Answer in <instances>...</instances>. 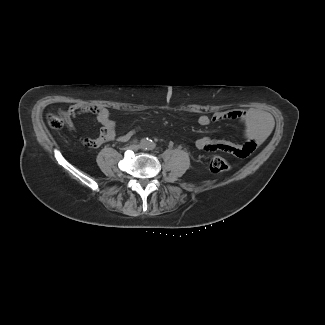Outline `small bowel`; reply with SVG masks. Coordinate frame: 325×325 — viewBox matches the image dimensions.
I'll return each mask as SVG.
<instances>
[{"label": "small bowel", "instance_id": "obj_1", "mask_svg": "<svg viewBox=\"0 0 325 325\" xmlns=\"http://www.w3.org/2000/svg\"><path fill=\"white\" fill-rule=\"evenodd\" d=\"M94 114L101 125V130L96 138H82L81 142L85 147L98 148L106 142L119 141L128 142L135 134V130H130L124 134L117 135L115 122L110 116L108 109L104 106L89 104L71 105L64 115L73 128V119L82 114ZM225 119H237L244 126V142L240 145L230 141L216 140L209 137H202L196 141V147L205 151H223L234 154L238 157L250 155L269 135L273 120L271 116L262 110H230L217 112L212 116L201 115L198 123L201 126H208L212 122Z\"/></svg>", "mask_w": 325, "mask_h": 325}]
</instances>
